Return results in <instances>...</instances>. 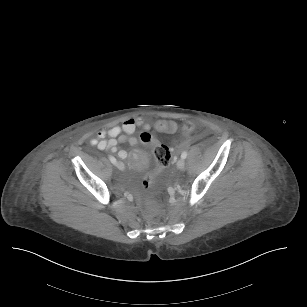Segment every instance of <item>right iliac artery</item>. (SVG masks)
<instances>
[{"label": "right iliac artery", "instance_id": "1", "mask_svg": "<svg viewBox=\"0 0 307 307\" xmlns=\"http://www.w3.org/2000/svg\"><path fill=\"white\" fill-rule=\"evenodd\" d=\"M109 159L113 164L117 163L116 159L113 156H109Z\"/></svg>", "mask_w": 307, "mask_h": 307}]
</instances>
